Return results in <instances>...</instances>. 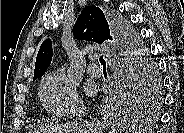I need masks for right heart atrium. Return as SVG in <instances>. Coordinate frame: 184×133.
Here are the masks:
<instances>
[{"mask_svg":"<svg viewBox=\"0 0 184 133\" xmlns=\"http://www.w3.org/2000/svg\"><path fill=\"white\" fill-rule=\"evenodd\" d=\"M39 93L44 107L52 115L66 116L82 109L76 85L62 69L44 77Z\"/></svg>","mask_w":184,"mask_h":133,"instance_id":"right-heart-atrium-1","label":"right heart atrium"}]
</instances>
